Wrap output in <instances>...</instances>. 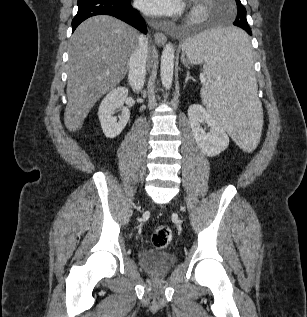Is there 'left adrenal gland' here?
Returning a JSON list of instances; mask_svg holds the SVG:
<instances>
[{
    "label": "left adrenal gland",
    "instance_id": "obj_1",
    "mask_svg": "<svg viewBox=\"0 0 307 317\" xmlns=\"http://www.w3.org/2000/svg\"><path fill=\"white\" fill-rule=\"evenodd\" d=\"M190 79H192V80H193V78H192V77H190L189 72H187L186 79H185V83H187Z\"/></svg>",
    "mask_w": 307,
    "mask_h": 317
}]
</instances>
